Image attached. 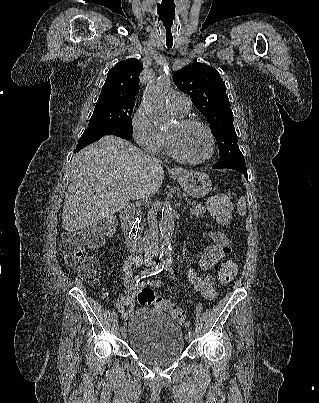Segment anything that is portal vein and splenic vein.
<instances>
[{"label": "portal vein and splenic vein", "mask_w": 319, "mask_h": 403, "mask_svg": "<svg viewBox=\"0 0 319 403\" xmlns=\"http://www.w3.org/2000/svg\"><path fill=\"white\" fill-rule=\"evenodd\" d=\"M133 196H134V195H133ZM187 204H188V205H194L195 202L188 201Z\"/></svg>", "instance_id": "obj_1"}]
</instances>
